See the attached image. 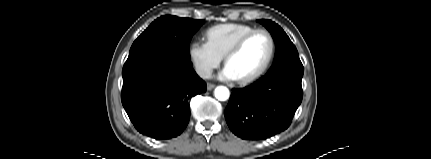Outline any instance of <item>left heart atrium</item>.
<instances>
[{
	"mask_svg": "<svg viewBox=\"0 0 431 159\" xmlns=\"http://www.w3.org/2000/svg\"><path fill=\"white\" fill-rule=\"evenodd\" d=\"M219 78L223 80H237L236 76L227 65L220 72Z\"/></svg>",
	"mask_w": 431,
	"mask_h": 159,
	"instance_id": "left-heart-atrium-1",
	"label": "left heart atrium"
}]
</instances>
